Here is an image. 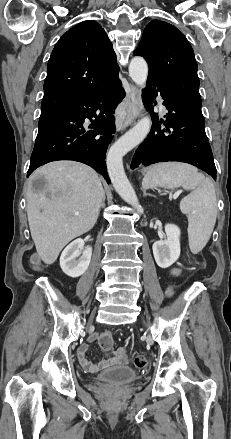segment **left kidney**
I'll return each mask as SVG.
<instances>
[{
    "label": "left kidney",
    "mask_w": 231,
    "mask_h": 439,
    "mask_svg": "<svg viewBox=\"0 0 231 439\" xmlns=\"http://www.w3.org/2000/svg\"><path fill=\"white\" fill-rule=\"evenodd\" d=\"M167 239L156 241L153 244V255L157 265L168 268L176 262L180 256V228L174 224L165 225Z\"/></svg>",
    "instance_id": "obj_1"
}]
</instances>
